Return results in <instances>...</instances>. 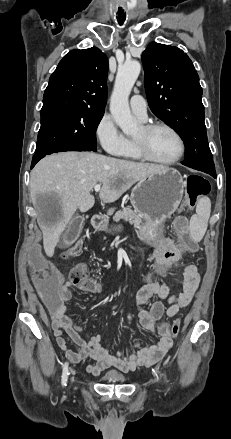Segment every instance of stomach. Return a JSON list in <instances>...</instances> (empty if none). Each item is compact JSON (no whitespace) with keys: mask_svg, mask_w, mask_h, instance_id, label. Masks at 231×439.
Returning <instances> with one entry per match:
<instances>
[{"mask_svg":"<svg viewBox=\"0 0 231 439\" xmlns=\"http://www.w3.org/2000/svg\"><path fill=\"white\" fill-rule=\"evenodd\" d=\"M183 191V177L173 168H165L138 181L132 189L130 201L144 219L139 227L142 240L152 242L160 235L163 223L180 205Z\"/></svg>","mask_w":231,"mask_h":439,"instance_id":"1","label":"stomach"}]
</instances>
